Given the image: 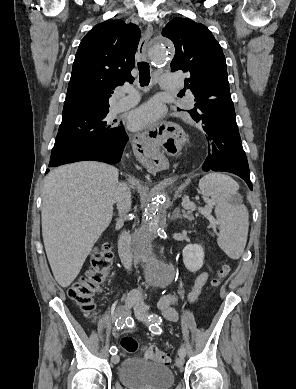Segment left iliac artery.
Returning a JSON list of instances; mask_svg holds the SVG:
<instances>
[{"mask_svg":"<svg viewBox=\"0 0 296 389\" xmlns=\"http://www.w3.org/2000/svg\"><path fill=\"white\" fill-rule=\"evenodd\" d=\"M149 321H150V326H149V330L154 333V334H161L162 330L160 329L159 325L161 324L162 322V319L160 316L158 315H150L148 317ZM186 352H185V348L182 346L179 350H178V355L179 356H185Z\"/></svg>","mask_w":296,"mask_h":389,"instance_id":"1","label":"left iliac artery"}]
</instances>
